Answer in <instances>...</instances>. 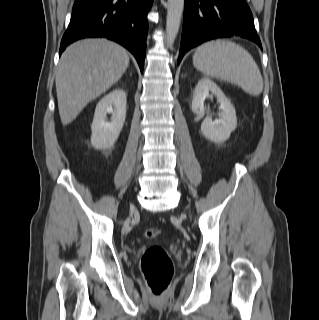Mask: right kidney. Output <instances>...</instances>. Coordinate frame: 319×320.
Segmentation results:
<instances>
[{"instance_id":"right-kidney-1","label":"right kidney","mask_w":319,"mask_h":320,"mask_svg":"<svg viewBox=\"0 0 319 320\" xmlns=\"http://www.w3.org/2000/svg\"><path fill=\"white\" fill-rule=\"evenodd\" d=\"M111 114V121L106 115ZM126 118V94L115 89L97 104L91 125V144L97 150L110 149L117 140Z\"/></svg>"}]
</instances>
